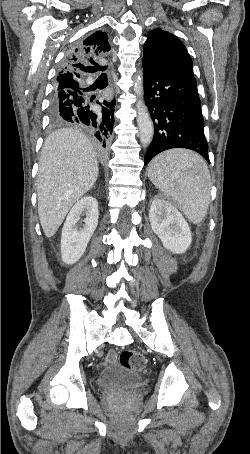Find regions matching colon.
Here are the masks:
<instances>
[{"mask_svg": "<svg viewBox=\"0 0 250 454\" xmlns=\"http://www.w3.org/2000/svg\"><path fill=\"white\" fill-rule=\"evenodd\" d=\"M120 364L129 370L141 371L145 366L144 356L133 349H125L119 356Z\"/></svg>", "mask_w": 250, "mask_h": 454, "instance_id": "colon-1", "label": "colon"}]
</instances>
